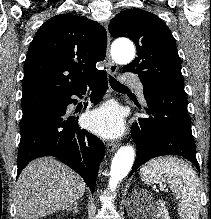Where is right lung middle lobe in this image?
<instances>
[{"label":"right lung middle lobe","mask_w":211,"mask_h":219,"mask_svg":"<svg viewBox=\"0 0 211 219\" xmlns=\"http://www.w3.org/2000/svg\"><path fill=\"white\" fill-rule=\"evenodd\" d=\"M53 102L54 101L22 105L23 114H27L29 112L35 111L39 108H42L44 106H47V105L53 103Z\"/></svg>","instance_id":"obj_1"}]
</instances>
